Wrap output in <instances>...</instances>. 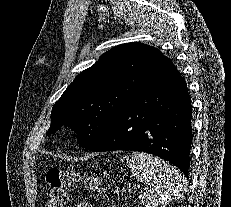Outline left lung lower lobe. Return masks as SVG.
<instances>
[{"mask_svg":"<svg viewBox=\"0 0 231 207\" xmlns=\"http://www.w3.org/2000/svg\"><path fill=\"white\" fill-rule=\"evenodd\" d=\"M191 98L185 80L163 55L145 88L88 150H135L157 155L186 176L192 143Z\"/></svg>","mask_w":231,"mask_h":207,"instance_id":"1","label":"left lung lower lobe"}]
</instances>
